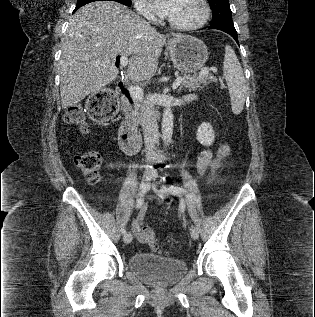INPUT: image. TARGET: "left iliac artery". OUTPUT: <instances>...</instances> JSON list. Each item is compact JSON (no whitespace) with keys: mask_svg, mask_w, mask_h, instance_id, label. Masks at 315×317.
I'll return each mask as SVG.
<instances>
[{"mask_svg":"<svg viewBox=\"0 0 315 317\" xmlns=\"http://www.w3.org/2000/svg\"><path fill=\"white\" fill-rule=\"evenodd\" d=\"M166 188V190L173 194V195H177V196H181L182 194L186 193V190L182 187H178V186H174V185H169L168 187L164 186ZM181 203L184 204V200L181 198Z\"/></svg>","mask_w":315,"mask_h":317,"instance_id":"obj_1","label":"left iliac artery"}]
</instances>
